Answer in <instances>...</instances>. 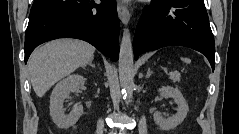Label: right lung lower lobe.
<instances>
[{"label": "right lung lower lobe", "mask_w": 239, "mask_h": 134, "mask_svg": "<svg viewBox=\"0 0 239 134\" xmlns=\"http://www.w3.org/2000/svg\"><path fill=\"white\" fill-rule=\"evenodd\" d=\"M101 1L96 5L89 0H35L25 34V63L38 45L62 37L87 41L117 60L119 22L115 0Z\"/></svg>", "instance_id": "98d812e1"}]
</instances>
